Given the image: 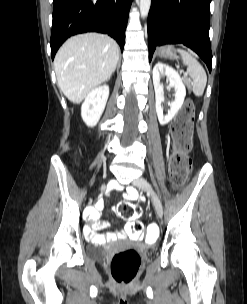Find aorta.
Here are the masks:
<instances>
[{
	"mask_svg": "<svg viewBox=\"0 0 247 304\" xmlns=\"http://www.w3.org/2000/svg\"><path fill=\"white\" fill-rule=\"evenodd\" d=\"M151 6V0H140L141 17L145 18L148 15Z\"/></svg>",
	"mask_w": 247,
	"mask_h": 304,
	"instance_id": "obj_1",
	"label": "aorta"
}]
</instances>
